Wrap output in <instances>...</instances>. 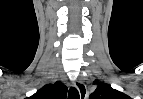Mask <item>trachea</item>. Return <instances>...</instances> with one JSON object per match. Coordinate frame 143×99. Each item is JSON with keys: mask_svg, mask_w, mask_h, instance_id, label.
Segmentation results:
<instances>
[{"mask_svg": "<svg viewBox=\"0 0 143 99\" xmlns=\"http://www.w3.org/2000/svg\"><path fill=\"white\" fill-rule=\"evenodd\" d=\"M79 92L75 87H71L68 92V99H79Z\"/></svg>", "mask_w": 143, "mask_h": 99, "instance_id": "obj_1", "label": "trachea"}]
</instances>
